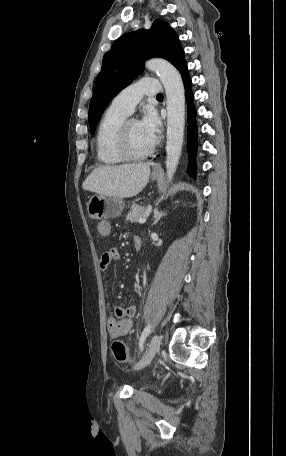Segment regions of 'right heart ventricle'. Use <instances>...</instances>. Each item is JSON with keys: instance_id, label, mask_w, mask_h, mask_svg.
<instances>
[{"instance_id": "right-heart-ventricle-1", "label": "right heart ventricle", "mask_w": 286, "mask_h": 456, "mask_svg": "<svg viewBox=\"0 0 286 456\" xmlns=\"http://www.w3.org/2000/svg\"><path fill=\"white\" fill-rule=\"evenodd\" d=\"M127 115L112 106L104 113L96 134V155L100 163L117 165L124 161L117 150V134Z\"/></svg>"}]
</instances>
